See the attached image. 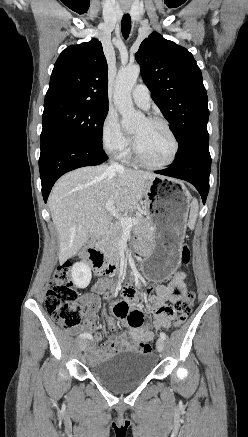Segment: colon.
<instances>
[{
	"label": "colon",
	"instance_id": "1",
	"mask_svg": "<svg viewBox=\"0 0 248 437\" xmlns=\"http://www.w3.org/2000/svg\"><path fill=\"white\" fill-rule=\"evenodd\" d=\"M183 263H189L190 250L184 246L181 252ZM94 267L100 269L102 260L93 264ZM69 263L59 265L54 271L50 286L46 294V309L51 318L60 326L67 329L76 328L83 317V304L78 299V293L74 286ZM195 296L193 293H188L180 298L175 309L178 312L173 320L174 327H180L185 321L188 314L191 312L194 305ZM173 311V308L169 309ZM139 351L142 353H150L152 345L150 343H141Z\"/></svg>",
	"mask_w": 248,
	"mask_h": 437
}]
</instances>
